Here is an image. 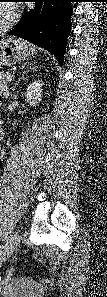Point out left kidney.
Segmentation results:
<instances>
[{"mask_svg":"<svg viewBox=\"0 0 107 297\" xmlns=\"http://www.w3.org/2000/svg\"><path fill=\"white\" fill-rule=\"evenodd\" d=\"M42 81H34L27 87V93L25 95L27 103L35 105L41 101L42 98Z\"/></svg>","mask_w":107,"mask_h":297,"instance_id":"1","label":"left kidney"}]
</instances>
